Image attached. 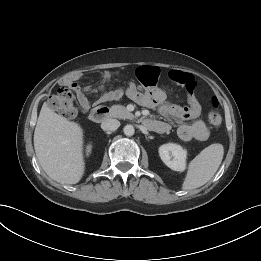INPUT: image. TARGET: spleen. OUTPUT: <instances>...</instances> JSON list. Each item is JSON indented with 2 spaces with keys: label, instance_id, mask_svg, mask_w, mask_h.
Wrapping results in <instances>:
<instances>
[{
  "label": "spleen",
  "instance_id": "obj_1",
  "mask_svg": "<svg viewBox=\"0 0 261 261\" xmlns=\"http://www.w3.org/2000/svg\"><path fill=\"white\" fill-rule=\"evenodd\" d=\"M224 155L222 144L214 143L203 149L188 165L183 190H193L206 184L218 170Z\"/></svg>",
  "mask_w": 261,
  "mask_h": 261
}]
</instances>
